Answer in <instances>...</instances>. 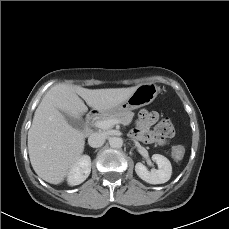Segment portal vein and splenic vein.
<instances>
[{"label": "portal vein and splenic vein", "instance_id": "1", "mask_svg": "<svg viewBox=\"0 0 229 229\" xmlns=\"http://www.w3.org/2000/svg\"><path fill=\"white\" fill-rule=\"evenodd\" d=\"M119 123L120 122L118 120H115V119L102 120V121H97L95 123V126L100 128V129L106 130V129L113 127L115 124H119Z\"/></svg>", "mask_w": 229, "mask_h": 229}]
</instances>
